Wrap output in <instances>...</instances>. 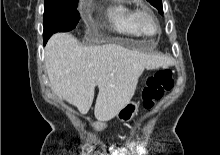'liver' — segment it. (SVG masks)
I'll list each match as a JSON object with an SVG mask.
<instances>
[{
    "label": "liver",
    "mask_w": 220,
    "mask_h": 155,
    "mask_svg": "<svg viewBox=\"0 0 220 155\" xmlns=\"http://www.w3.org/2000/svg\"><path fill=\"white\" fill-rule=\"evenodd\" d=\"M162 54L130 50L119 44L81 46L71 34L57 33L45 47V67L52 91L87 114L98 86L94 115L107 122L131 101L144 69L168 67Z\"/></svg>",
    "instance_id": "6515ba94"
}]
</instances>
